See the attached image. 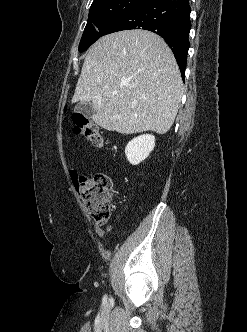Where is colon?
<instances>
[{
  "mask_svg": "<svg viewBox=\"0 0 247 332\" xmlns=\"http://www.w3.org/2000/svg\"><path fill=\"white\" fill-rule=\"evenodd\" d=\"M74 132L82 135L97 148L104 145L103 136L98 126L82 114L72 115ZM76 189L86 205L89 214L98 224L105 223L111 212L112 182L105 173H96L92 176L73 177Z\"/></svg>",
  "mask_w": 247,
  "mask_h": 332,
  "instance_id": "obj_1",
  "label": "colon"
}]
</instances>
